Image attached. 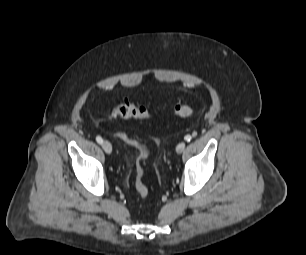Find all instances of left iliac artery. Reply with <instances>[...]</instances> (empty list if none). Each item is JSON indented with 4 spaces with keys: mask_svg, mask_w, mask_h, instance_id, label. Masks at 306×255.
Here are the masks:
<instances>
[{
    "mask_svg": "<svg viewBox=\"0 0 306 255\" xmlns=\"http://www.w3.org/2000/svg\"><path fill=\"white\" fill-rule=\"evenodd\" d=\"M185 141L190 142V140L192 139L191 135H186L184 137Z\"/></svg>",
    "mask_w": 306,
    "mask_h": 255,
    "instance_id": "1",
    "label": "left iliac artery"
}]
</instances>
